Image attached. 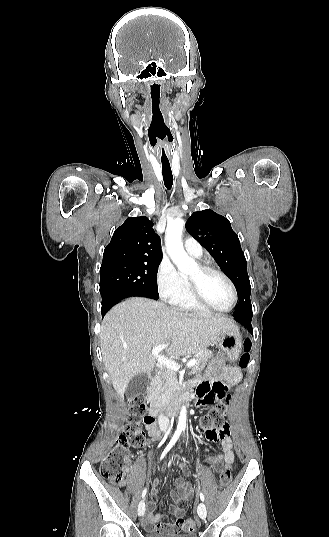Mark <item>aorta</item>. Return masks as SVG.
Instances as JSON below:
<instances>
[{
    "label": "aorta",
    "mask_w": 329,
    "mask_h": 537,
    "mask_svg": "<svg viewBox=\"0 0 329 537\" xmlns=\"http://www.w3.org/2000/svg\"><path fill=\"white\" fill-rule=\"evenodd\" d=\"M184 228V221L177 218L168 223L166 228V248L167 252L177 266L181 273H189L191 270L197 268V263L193 258H190L183 248L181 240L182 231ZM187 410L186 406H182L178 425L181 427L186 426Z\"/></svg>",
    "instance_id": "aorta-1"
}]
</instances>
